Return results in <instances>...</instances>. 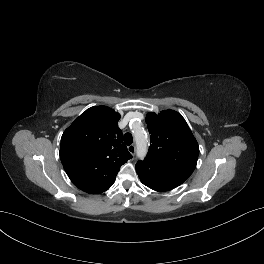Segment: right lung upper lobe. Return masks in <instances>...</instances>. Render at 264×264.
<instances>
[{
    "label": "right lung upper lobe",
    "instance_id": "right-lung-upper-lobe-1",
    "mask_svg": "<svg viewBox=\"0 0 264 264\" xmlns=\"http://www.w3.org/2000/svg\"><path fill=\"white\" fill-rule=\"evenodd\" d=\"M120 114L107 106L87 109L61 138L60 159L71 181L81 190L99 194L132 158L122 142Z\"/></svg>",
    "mask_w": 264,
    "mask_h": 264
}]
</instances>
